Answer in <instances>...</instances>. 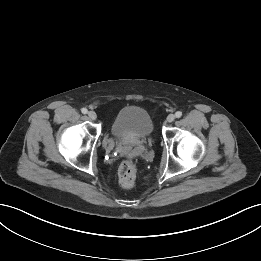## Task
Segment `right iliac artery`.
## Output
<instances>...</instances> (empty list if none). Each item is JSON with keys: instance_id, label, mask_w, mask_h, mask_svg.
<instances>
[{"instance_id": "right-iliac-artery-1", "label": "right iliac artery", "mask_w": 261, "mask_h": 261, "mask_svg": "<svg viewBox=\"0 0 261 261\" xmlns=\"http://www.w3.org/2000/svg\"><path fill=\"white\" fill-rule=\"evenodd\" d=\"M81 112H82L83 114H87L88 110H87L86 108H82V109H81Z\"/></svg>"}]
</instances>
